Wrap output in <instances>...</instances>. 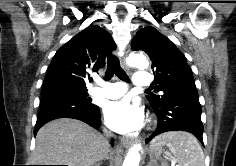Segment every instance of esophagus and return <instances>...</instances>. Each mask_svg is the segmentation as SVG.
Returning <instances> with one entry per match:
<instances>
[{
  "label": "esophagus",
  "mask_w": 236,
  "mask_h": 166,
  "mask_svg": "<svg viewBox=\"0 0 236 166\" xmlns=\"http://www.w3.org/2000/svg\"><path fill=\"white\" fill-rule=\"evenodd\" d=\"M128 52H129V49H125V52H124V55L120 58V62H121V66L124 68V69H128V63H127V56H128ZM134 142V139L133 138H126V137H123L121 139V144L123 146H130L132 145Z\"/></svg>",
  "instance_id": "34e87169"
}]
</instances>
